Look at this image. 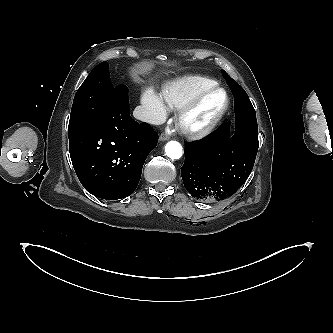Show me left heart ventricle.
I'll return each mask as SVG.
<instances>
[{
    "label": "left heart ventricle",
    "mask_w": 333,
    "mask_h": 333,
    "mask_svg": "<svg viewBox=\"0 0 333 333\" xmlns=\"http://www.w3.org/2000/svg\"><path fill=\"white\" fill-rule=\"evenodd\" d=\"M224 95L222 92H215L207 96L197 109L189 117V123L200 125L209 120L222 106Z\"/></svg>",
    "instance_id": "left-heart-ventricle-1"
}]
</instances>
